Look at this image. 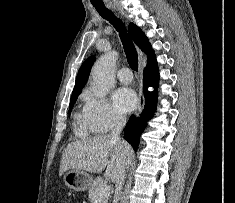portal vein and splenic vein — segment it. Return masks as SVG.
Wrapping results in <instances>:
<instances>
[{
    "instance_id": "obj_1",
    "label": "portal vein and splenic vein",
    "mask_w": 235,
    "mask_h": 203,
    "mask_svg": "<svg viewBox=\"0 0 235 203\" xmlns=\"http://www.w3.org/2000/svg\"><path fill=\"white\" fill-rule=\"evenodd\" d=\"M110 190L111 187L109 185H104L96 192L95 199L100 200L101 198L108 196L110 194Z\"/></svg>"
}]
</instances>
